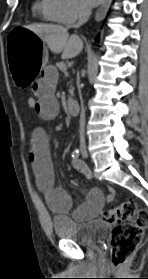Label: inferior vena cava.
Here are the masks:
<instances>
[{
	"label": "inferior vena cava",
	"mask_w": 148,
	"mask_h": 279,
	"mask_svg": "<svg viewBox=\"0 0 148 279\" xmlns=\"http://www.w3.org/2000/svg\"><path fill=\"white\" fill-rule=\"evenodd\" d=\"M91 15V9L89 7L81 6L78 11V21L74 28L81 27L84 23H86ZM80 146L81 148L85 147V109L82 103V110L80 114Z\"/></svg>",
	"instance_id": "602c4592"
}]
</instances>
